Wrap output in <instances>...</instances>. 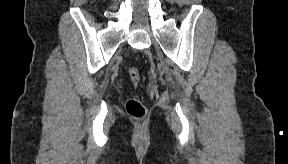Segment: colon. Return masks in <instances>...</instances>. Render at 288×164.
<instances>
[{
    "label": "colon",
    "mask_w": 288,
    "mask_h": 164,
    "mask_svg": "<svg viewBox=\"0 0 288 164\" xmlns=\"http://www.w3.org/2000/svg\"><path fill=\"white\" fill-rule=\"evenodd\" d=\"M128 73L132 83L137 86L141 81L139 70L135 67H131L128 70ZM126 112L133 120H142V118L147 116L146 107L143 101L138 97L128 99L126 102Z\"/></svg>",
    "instance_id": "1"
}]
</instances>
